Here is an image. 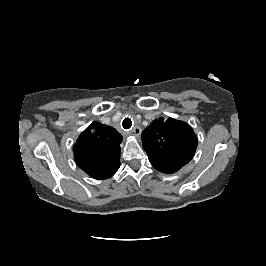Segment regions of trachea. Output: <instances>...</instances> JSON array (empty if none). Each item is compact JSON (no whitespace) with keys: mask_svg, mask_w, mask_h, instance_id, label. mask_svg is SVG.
<instances>
[{"mask_svg":"<svg viewBox=\"0 0 266 266\" xmlns=\"http://www.w3.org/2000/svg\"><path fill=\"white\" fill-rule=\"evenodd\" d=\"M122 126H123L124 129H130L131 126H132V121H131V119L128 118V117L125 118V119L123 120V122H122Z\"/></svg>","mask_w":266,"mask_h":266,"instance_id":"trachea-1","label":"trachea"}]
</instances>
